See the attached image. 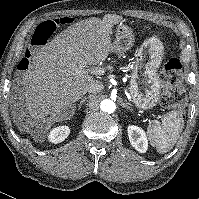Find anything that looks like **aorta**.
<instances>
[{
	"instance_id": "aorta-1",
	"label": "aorta",
	"mask_w": 199,
	"mask_h": 199,
	"mask_svg": "<svg viewBox=\"0 0 199 199\" xmlns=\"http://www.w3.org/2000/svg\"><path fill=\"white\" fill-rule=\"evenodd\" d=\"M100 108L102 111L110 114L115 111L116 105H115L114 101H112L110 99H105V100L101 101Z\"/></svg>"
}]
</instances>
